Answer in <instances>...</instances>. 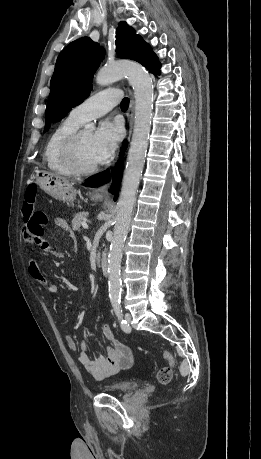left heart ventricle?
<instances>
[{
    "instance_id": "left-heart-ventricle-1",
    "label": "left heart ventricle",
    "mask_w": 261,
    "mask_h": 459,
    "mask_svg": "<svg viewBox=\"0 0 261 459\" xmlns=\"http://www.w3.org/2000/svg\"><path fill=\"white\" fill-rule=\"evenodd\" d=\"M80 159L84 166L91 167L97 165L94 158L93 133L82 131L80 136Z\"/></svg>"
}]
</instances>
